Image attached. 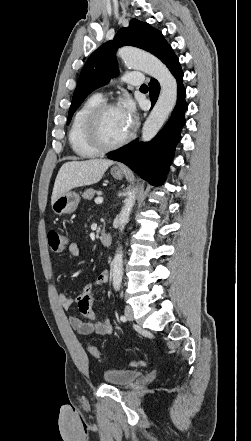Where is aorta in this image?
<instances>
[{
  "mask_svg": "<svg viewBox=\"0 0 251 441\" xmlns=\"http://www.w3.org/2000/svg\"><path fill=\"white\" fill-rule=\"evenodd\" d=\"M119 57L129 68L141 70L154 77L160 84L159 98L145 121L142 129V141H150L161 129L177 100V82L168 68L155 56L125 47L118 51ZM136 201V190L127 195L119 214V230L123 232ZM123 276V253L119 247L112 262L113 286L119 289Z\"/></svg>",
  "mask_w": 251,
  "mask_h": 441,
  "instance_id": "aorta-1",
  "label": "aorta"
}]
</instances>
